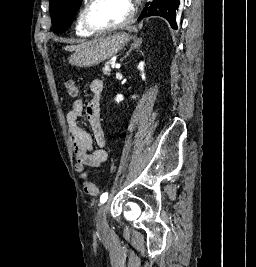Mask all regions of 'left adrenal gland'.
<instances>
[{"label": "left adrenal gland", "mask_w": 256, "mask_h": 267, "mask_svg": "<svg viewBox=\"0 0 256 267\" xmlns=\"http://www.w3.org/2000/svg\"><path fill=\"white\" fill-rule=\"evenodd\" d=\"M142 44V40L141 38H137V36H133V42L130 46V50H128V52H126V56H124V58H127V56H129V54H131L132 50H138L139 46H141ZM124 58H121V62L122 60H124Z\"/></svg>", "instance_id": "left-adrenal-gland-1"}]
</instances>
